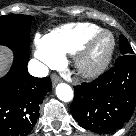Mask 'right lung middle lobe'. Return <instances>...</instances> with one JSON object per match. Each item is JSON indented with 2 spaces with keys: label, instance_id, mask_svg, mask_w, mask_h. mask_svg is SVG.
I'll return each instance as SVG.
<instances>
[{
  "label": "right lung middle lobe",
  "instance_id": "obj_1",
  "mask_svg": "<svg viewBox=\"0 0 136 136\" xmlns=\"http://www.w3.org/2000/svg\"><path fill=\"white\" fill-rule=\"evenodd\" d=\"M31 16L9 14L0 16V45L27 51Z\"/></svg>",
  "mask_w": 136,
  "mask_h": 136
}]
</instances>
